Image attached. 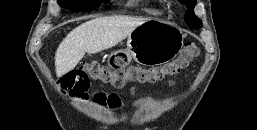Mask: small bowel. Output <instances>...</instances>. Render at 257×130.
<instances>
[{
	"label": "small bowel",
	"mask_w": 257,
	"mask_h": 130,
	"mask_svg": "<svg viewBox=\"0 0 257 130\" xmlns=\"http://www.w3.org/2000/svg\"><path fill=\"white\" fill-rule=\"evenodd\" d=\"M169 84H174V81H169ZM88 97H83L82 99H87ZM149 99L143 98L135 101L134 106L140 107L148 102ZM93 102L102 107V108H110L112 110H118L121 107V99L118 94L110 93L107 94L102 91H97L93 95Z\"/></svg>",
	"instance_id": "1"
}]
</instances>
